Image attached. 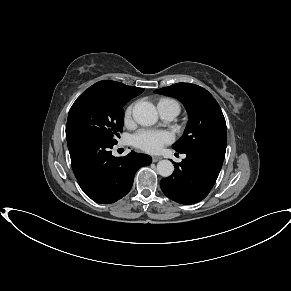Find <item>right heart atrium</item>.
Listing matches in <instances>:
<instances>
[{"label":"right heart atrium","instance_id":"d8ad5b80","mask_svg":"<svg viewBox=\"0 0 291 291\" xmlns=\"http://www.w3.org/2000/svg\"><path fill=\"white\" fill-rule=\"evenodd\" d=\"M132 109L133 106L130 105L126 108L125 112H124V122L127 124L129 123L130 119H131V115H132Z\"/></svg>","mask_w":291,"mask_h":291}]
</instances>
